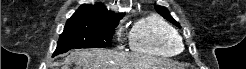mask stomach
<instances>
[{"label":"stomach","instance_id":"0dacf381","mask_svg":"<svg viewBox=\"0 0 246 69\" xmlns=\"http://www.w3.org/2000/svg\"><path fill=\"white\" fill-rule=\"evenodd\" d=\"M149 69H181V68L169 64H156L151 66Z\"/></svg>","mask_w":246,"mask_h":69}]
</instances>
